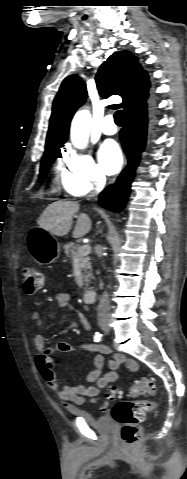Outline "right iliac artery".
I'll list each match as a JSON object with an SVG mask.
<instances>
[{"mask_svg": "<svg viewBox=\"0 0 187 479\" xmlns=\"http://www.w3.org/2000/svg\"><path fill=\"white\" fill-rule=\"evenodd\" d=\"M102 336H103V335H102L101 333L96 332L95 335H94V341H95V342L101 341V340H102Z\"/></svg>", "mask_w": 187, "mask_h": 479, "instance_id": "right-iliac-artery-1", "label": "right iliac artery"}]
</instances>
